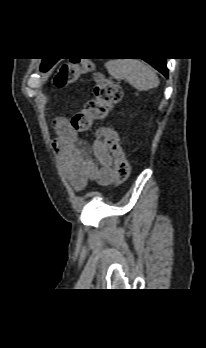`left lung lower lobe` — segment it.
<instances>
[{
    "label": "left lung lower lobe",
    "instance_id": "0a47b994",
    "mask_svg": "<svg viewBox=\"0 0 206 348\" xmlns=\"http://www.w3.org/2000/svg\"><path fill=\"white\" fill-rule=\"evenodd\" d=\"M143 60H145L150 65H152L155 69L160 71L165 77H168V69L166 67L165 59H149V60L143 59Z\"/></svg>",
    "mask_w": 206,
    "mask_h": 348
}]
</instances>
